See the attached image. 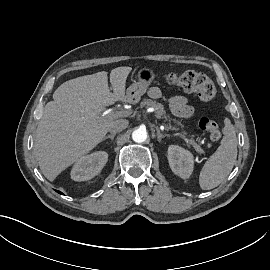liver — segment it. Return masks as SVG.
Listing matches in <instances>:
<instances>
[{"instance_id":"obj_1","label":"liver","mask_w":270,"mask_h":270,"mask_svg":"<svg viewBox=\"0 0 270 270\" xmlns=\"http://www.w3.org/2000/svg\"><path fill=\"white\" fill-rule=\"evenodd\" d=\"M131 67L85 75L61 84L38 122L33 156L43 175L53 181L62 171L89 153L106 136L120 116H103L106 106L127 101L126 79Z\"/></svg>"}]
</instances>
